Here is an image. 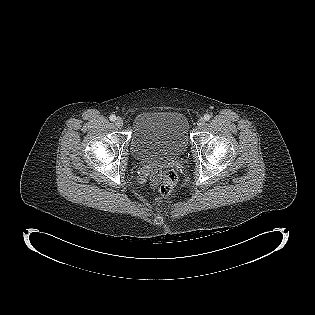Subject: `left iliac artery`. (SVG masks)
<instances>
[{
    "mask_svg": "<svg viewBox=\"0 0 315 315\" xmlns=\"http://www.w3.org/2000/svg\"><path fill=\"white\" fill-rule=\"evenodd\" d=\"M210 118H211V116H210L209 114H205V115H204V120H205V121H209Z\"/></svg>",
    "mask_w": 315,
    "mask_h": 315,
    "instance_id": "1",
    "label": "left iliac artery"
}]
</instances>
